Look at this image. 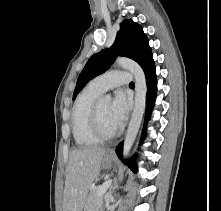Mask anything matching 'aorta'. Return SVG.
Returning a JSON list of instances; mask_svg holds the SVG:
<instances>
[{"instance_id": "1", "label": "aorta", "mask_w": 221, "mask_h": 211, "mask_svg": "<svg viewBox=\"0 0 221 211\" xmlns=\"http://www.w3.org/2000/svg\"><path fill=\"white\" fill-rule=\"evenodd\" d=\"M115 63L130 71L135 77V105L123 143V156L126 157L135 141L143 118L146 105L147 84L143 69L135 61L123 57L116 59ZM111 95H105L103 102L109 103Z\"/></svg>"}]
</instances>
